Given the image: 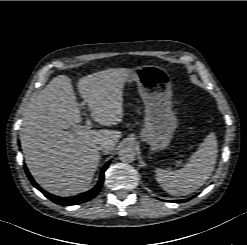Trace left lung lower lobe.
<instances>
[{"instance_id":"0a47b994","label":"left lung lower lobe","mask_w":247,"mask_h":245,"mask_svg":"<svg viewBox=\"0 0 247 245\" xmlns=\"http://www.w3.org/2000/svg\"><path fill=\"white\" fill-rule=\"evenodd\" d=\"M177 202H185L184 200H180V201H177Z\"/></svg>"}]
</instances>
